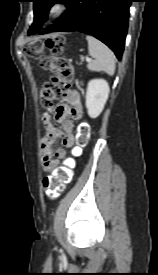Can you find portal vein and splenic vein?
I'll list each match as a JSON object with an SVG mask.
<instances>
[{
  "label": "portal vein and splenic vein",
  "instance_id": "obj_1",
  "mask_svg": "<svg viewBox=\"0 0 158 275\" xmlns=\"http://www.w3.org/2000/svg\"><path fill=\"white\" fill-rule=\"evenodd\" d=\"M86 61H87V62H90V61H92V59L89 58V57H87V58H86Z\"/></svg>",
  "mask_w": 158,
  "mask_h": 275
}]
</instances>
